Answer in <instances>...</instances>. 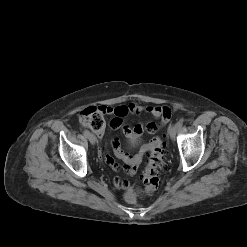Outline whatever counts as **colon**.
<instances>
[{
  "label": "colon",
  "mask_w": 247,
  "mask_h": 247,
  "mask_svg": "<svg viewBox=\"0 0 247 247\" xmlns=\"http://www.w3.org/2000/svg\"><path fill=\"white\" fill-rule=\"evenodd\" d=\"M105 110L103 107H88L80 115V122L97 133H102L106 126ZM165 168L164 154L161 141L155 142L150 148L148 163L145 167L144 193L152 194L160 185V171ZM141 192L134 188H129L124 194L127 202L134 203L140 197Z\"/></svg>",
  "instance_id": "1"
}]
</instances>
